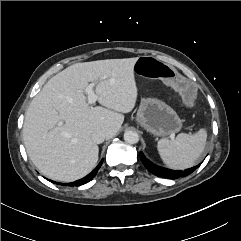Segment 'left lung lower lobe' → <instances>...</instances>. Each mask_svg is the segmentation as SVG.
<instances>
[{"label":"left lung lower lobe","instance_id":"0a47b994","mask_svg":"<svg viewBox=\"0 0 241 241\" xmlns=\"http://www.w3.org/2000/svg\"><path fill=\"white\" fill-rule=\"evenodd\" d=\"M140 159L142 161V163L144 164V166L154 175L159 176V177H164V178H170V179H177L181 176H187L189 174H191L194 170H196L198 166H195L193 168L190 169H186L184 171L181 170H170V169H166L163 167H160L158 165H155L154 163H152L151 161H149L142 152L139 153Z\"/></svg>","mask_w":241,"mask_h":241}]
</instances>
